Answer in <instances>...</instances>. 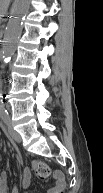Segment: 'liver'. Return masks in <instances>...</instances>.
Returning a JSON list of instances; mask_svg holds the SVG:
<instances>
[{"instance_id": "6515ba94", "label": "liver", "mask_w": 103, "mask_h": 193, "mask_svg": "<svg viewBox=\"0 0 103 193\" xmlns=\"http://www.w3.org/2000/svg\"><path fill=\"white\" fill-rule=\"evenodd\" d=\"M11 0H0V12L4 14L7 12Z\"/></svg>"}]
</instances>
